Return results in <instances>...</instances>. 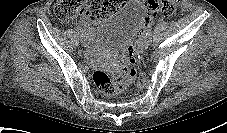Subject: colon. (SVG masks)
<instances>
[{
  "instance_id": "5ec220e1",
  "label": "colon",
  "mask_w": 227,
  "mask_h": 133,
  "mask_svg": "<svg viewBox=\"0 0 227 133\" xmlns=\"http://www.w3.org/2000/svg\"><path fill=\"white\" fill-rule=\"evenodd\" d=\"M124 3L125 0H56L54 13L62 22H69L78 17L83 23L93 24L106 19ZM179 6L180 0H145L144 27L151 25L155 17L174 15ZM136 61L137 50L130 45L123 57V64L116 71L110 74L100 70L93 72L95 86L108 96L120 94L137 78V70L134 67Z\"/></svg>"
}]
</instances>
